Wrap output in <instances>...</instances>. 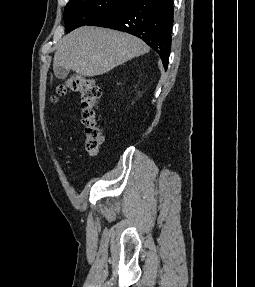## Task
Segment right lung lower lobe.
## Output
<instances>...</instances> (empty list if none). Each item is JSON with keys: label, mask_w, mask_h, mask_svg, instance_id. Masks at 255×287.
I'll return each instance as SVG.
<instances>
[{"label": "right lung lower lobe", "mask_w": 255, "mask_h": 287, "mask_svg": "<svg viewBox=\"0 0 255 287\" xmlns=\"http://www.w3.org/2000/svg\"><path fill=\"white\" fill-rule=\"evenodd\" d=\"M173 0H127L89 25L124 31L141 38L167 69L173 26Z\"/></svg>", "instance_id": "98d812e1"}]
</instances>
